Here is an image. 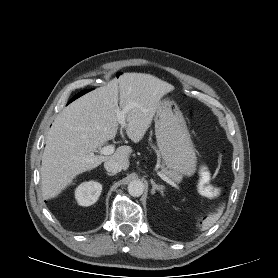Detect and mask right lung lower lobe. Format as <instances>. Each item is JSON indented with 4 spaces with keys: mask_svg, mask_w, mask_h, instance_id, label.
Segmentation results:
<instances>
[{
    "mask_svg": "<svg viewBox=\"0 0 278 278\" xmlns=\"http://www.w3.org/2000/svg\"><path fill=\"white\" fill-rule=\"evenodd\" d=\"M85 94V93H84ZM83 95L82 92H80L79 94H77L73 99L78 98L79 96Z\"/></svg>",
    "mask_w": 278,
    "mask_h": 278,
    "instance_id": "obj_1",
    "label": "right lung lower lobe"
}]
</instances>
